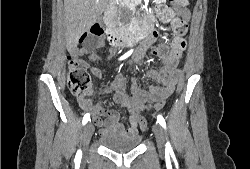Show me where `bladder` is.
Returning <instances> with one entry per match:
<instances>
[{
    "label": "bladder",
    "instance_id": "31cf9c89",
    "mask_svg": "<svg viewBox=\"0 0 250 169\" xmlns=\"http://www.w3.org/2000/svg\"><path fill=\"white\" fill-rule=\"evenodd\" d=\"M102 147L120 153L135 151L143 141L140 133H103Z\"/></svg>",
    "mask_w": 250,
    "mask_h": 169
}]
</instances>
